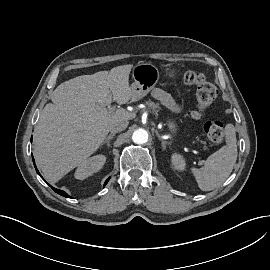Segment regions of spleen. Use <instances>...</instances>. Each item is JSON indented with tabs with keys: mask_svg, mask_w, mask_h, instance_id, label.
<instances>
[{
	"mask_svg": "<svg viewBox=\"0 0 270 270\" xmlns=\"http://www.w3.org/2000/svg\"><path fill=\"white\" fill-rule=\"evenodd\" d=\"M226 145L211 154L204 167L192 168L198 187L202 191H211L220 186L231 174L237 160L236 133L232 124L226 125Z\"/></svg>",
	"mask_w": 270,
	"mask_h": 270,
	"instance_id": "3e777b00",
	"label": "spleen"
}]
</instances>
